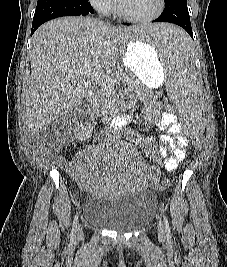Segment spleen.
Here are the masks:
<instances>
[{"label":"spleen","instance_id":"spleen-1","mask_svg":"<svg viewBox=\"0 0 227 267\" xmlns=\"http://www.w3.org/2000/svg\"><path fill=\"white\" fill-rule=\"evenodd\" d=\"M130 30H136L127 34L130 43L155 47L158 58L169 63L168 72L163 76L169 96L176 103L201 105L204 102L202 88L195 73L192 42L185 29H180L175 22H140V25H130ZM178 115H203L202 106H178ZM180 121L185 125L184 137L204 140L206 124L202 116H180Z\"/></svg>","mask_w":227,"mask_h":267}]
</instances>
